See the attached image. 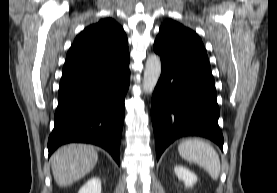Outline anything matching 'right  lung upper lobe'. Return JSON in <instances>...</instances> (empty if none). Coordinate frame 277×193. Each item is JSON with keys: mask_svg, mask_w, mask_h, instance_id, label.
I'll list each match as a JSON object with an SVG mask.
<instances>
[{"mask_svg": "<svg viewBox=\"0 0 277 193\" xmlns=\"http://www.w3.org/2000/svg\"><path fill=\"white\" fill-rule=\"evenodd\" d=\"M129 53L123 28L111 18L85 28L70 47L62 77L95 71Z\"/></svg>", "mask_w": 277, "mask_h": 193, "instance_id": "obj_1", "label": "right lung upper lobe"}]
</instances>
